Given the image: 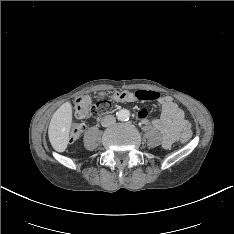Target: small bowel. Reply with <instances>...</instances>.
Listing matches in <instances>:
<instances>
[{"label":"small bowel","instance_id":"obj_1","mask_svg":"<svg viewBox=\"0 0 234 234\" xmlns=\"http://www.w3.org/2000/svg\"><path fill=\"white\" fill-rule=\"evenodd\" d=\"M144 92L157 94L155 99L158 101V104L161 108V113L160 116L152 120L151 123L158 131L162 133L163 147L169 148L176 142L182 132L190 129V124L186 120L182 108L174 101L171 96H160L157 92L154 91ZM137 100L138 99H136L130 93L126 98L121 100V102H132ZM137 116L143 124L149 123L147 109H140L137 113Z\"/></svg>","mask_w":234,"mask_h":234}]
</instances>
